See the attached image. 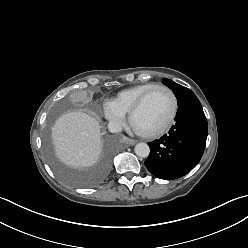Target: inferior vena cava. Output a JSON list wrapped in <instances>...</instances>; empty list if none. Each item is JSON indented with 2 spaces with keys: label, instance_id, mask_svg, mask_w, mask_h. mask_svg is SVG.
<instances>
[{
  "label": "inferior vena cava",
  "instance_id": "602c4592",
  "mask_svg": "<svg viewBox=\"0 0 248 248\" xmlns=\"http://www.w3.org/2000/svg\"><path fill=\"white\" fill-rule=\"evenodd\" d=\"M108 129L112 133H118V132L122 131L121 125L117 122H109L108 123Z\"/></svg>",
  "mask_w": 248,
  "mask_h": 248
}]
</instances>
